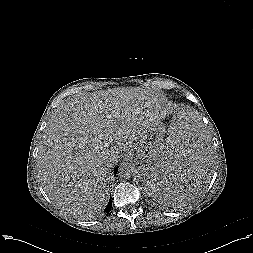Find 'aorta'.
Listing matches in <instances>:
<instances>
[{"label":"aorta","instance_id":"aorta-1","mask_svg":"<svg viewBox=\"0 0 253 253\" xmlns=\"http://www.w3.org/2000/svg\"><path fill=\"white\" fill-rule=\"evenodd\" d=\"M135 171V167L130 162H122L118 169V174L120 177L128 178L130 177Z\"/></svg>","mask_w":253,"mask_h":253}]
</instances>
